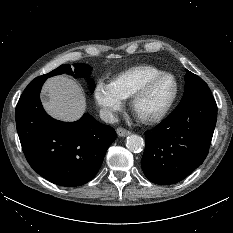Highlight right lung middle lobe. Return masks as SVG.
<instances>
[{"mask_svg": "<svg viewBox=\"0 0 233 233\" xmlns=\"http://www.w3.org/2000/svg\"><path fill=\"white\" fill-rule=\"evenodd\" d=\"M73 66L74 68H71L70 65H61L55 70L51 71L50 73H47L42 76L49 78L51 76L58 75V74H64V73L74 74L76 78H88L90 76L91 70H92L91 66L87 64H83V63H77V64H74ZM89 84H90L89 87L91 91H93L95 88L94 81L89 80Z\"/></svg>", "mask_w": 233, "mask_h": 233, "instance_id": "dd1d6c3e", "label": "right lung middle lobe"}]
</instances>
